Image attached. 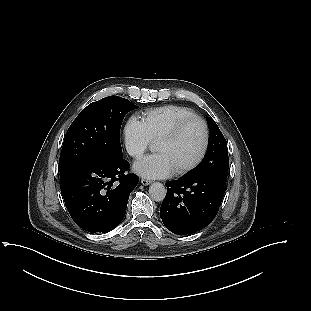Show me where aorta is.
<instances>
[{"instance_id":"762f6f07","label":"aorta","mask_w":311,"mask_h":311,"mask_svg":"<svg viewBox=\"0 0 311 311\" xmlns=\"http://www.w3.org/2000/svg\"><path fill=\"white\" fill-rule=\"evenodd\" d=\"M149 196L156 202L163 201L166 196V188L160 182H154L149 187Z\"/></svg>"}]
</instances>
